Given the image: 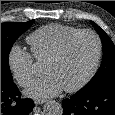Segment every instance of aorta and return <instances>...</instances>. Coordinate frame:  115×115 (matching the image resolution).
<instances>
[{"instance_id": "1", "label": "aorta", "mask_w": 115, "mask_h": 115, "mask_svg": "<svg viewBox=\"0 0 115 115\" xmlns=\"http://www.w3.org/2000/svg\"><path fill=\"white\" fill-rule=\"evenodd\" d=\"M43 111L45 115H63V107L56 101L45 103Z\"/></svg>"}]
</instances>
